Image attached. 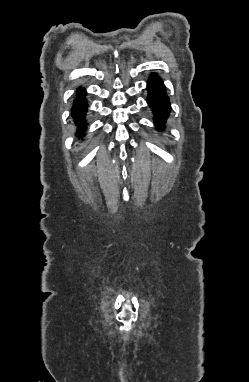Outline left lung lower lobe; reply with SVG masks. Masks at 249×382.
I'll return each mask as SVG.
<instances>
[{"label": "left lung lower lobe", "instance_id": "1", "mask_svg": "<svg viewBox=\"0 0 249 382\" xmlns=\"http://www.w3.org/2000/svg\"><path fill=\"white\" fill-rule=\"evenodd\" d=\"M148 104L152 109L154 122L158 130L165 126V121L170 113V102L166 95L165 86L157 75H152L147 84Z\"/></svg>", "mask_w": 249, "mask_h": 382}]
</instances>
